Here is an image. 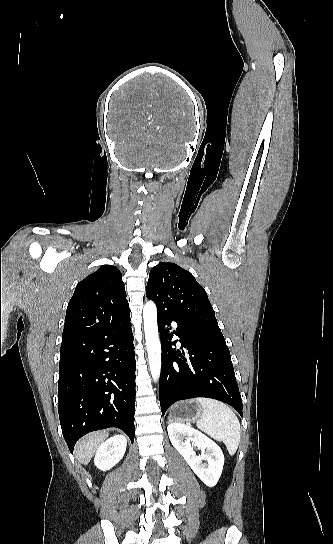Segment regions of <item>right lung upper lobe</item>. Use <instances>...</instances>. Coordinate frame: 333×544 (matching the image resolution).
Returning a JSON list of instances; mask_svg holds the SVG:
<instances>
[{"label": "right lung upper lobe", "mask_w": 333, "mask_h": 544, "mask_svg": "<svg viewBox=\"0 0 333 544\" xmlns=\"http://www.w3.org/2000/svg\"><path fill=\"white\" fill-rule=\"evenodd\" d=\"M129 312L121 272L103 265L76 286L67 307L63 337L118 321Z\"/></svg>", "instance_id": "right-lung-upper-lobe-1"}]
</instances>
